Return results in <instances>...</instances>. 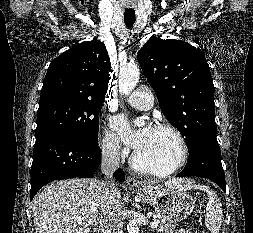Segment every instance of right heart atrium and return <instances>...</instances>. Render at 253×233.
Segmentation results:
<instances>
[{
  "instance_id": "d8ad5b80",
  "label": "right heart atrium",
  "mask_w": 253,
  "mask_h": 233,
  "mask_svg": "<svg viewBox=\"0 0 253 233\" xmlns=\"http://www.w3.org/2000/svg\"><path fill=\"white\" fill-rule=\"evenodd\" d=\"M102 151L109 157L117 158L124 151L118 136L110 130H105L102 138Z\"/></svg>"
}]
</instances>
